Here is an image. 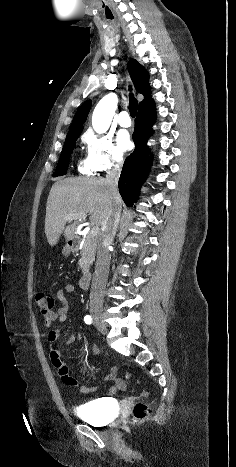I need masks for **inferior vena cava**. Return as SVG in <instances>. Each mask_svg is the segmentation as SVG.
<instances>
[{"label":"inferior vena cava","mask_w":236,"mask_h":467,"mask_svg":"<svg viewBox=\"0 0 236 467\" xmlns=\"http://www.w3.org/2000/svg\"><path fill=\"white\" fill-rule=\"evenodd\" d=\"M120 172V164H115L107 171L105 179L115 201L119 198L118 179ZM120 213L121 208L115 202H113L107 217L101 226V232L98 239L95 272L93 274L90 291L91 307H102L103 305V295L110 264L109 246L112 244L115 237L120 220Z\"/></svg>","instance_id":"inferior-vena-cava-1"}]
</instances>
